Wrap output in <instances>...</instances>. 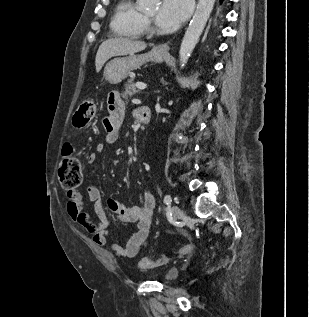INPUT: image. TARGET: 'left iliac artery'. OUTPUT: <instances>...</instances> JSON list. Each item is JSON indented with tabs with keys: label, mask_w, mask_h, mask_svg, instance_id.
<instances>
[{
	"label": "left iliac artery",
	"mask_w": 309,
	"mask_h": 317,
	"mask_svg": "<svg viewBox=\"0 0 309 317\" xmlns=\"http://www.w3.org/2000/svg\"><path fill=\"white\" fill-rule=\"evenodd\" d=\"M171 201H172L171 196L170 195H165L164 203L168 205V204L171 203Z\"/></svg>",
	"instance_id": "obj_1"
}]
</instances>
